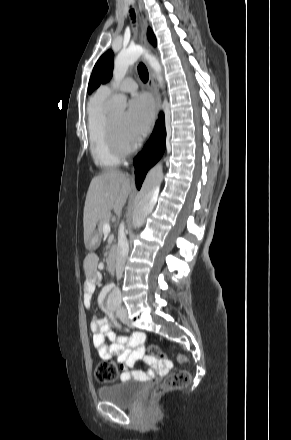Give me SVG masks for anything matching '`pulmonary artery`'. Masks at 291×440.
<instances>
[{"mask_svg":"<svg viewBox=\"0 0 291 440\" xmlns=\"http://www.w3.org/2000/svg\"><path fill=\"white\" fill-rule=\"evenodd\" d=\"M116 88L122 92H134L138 88V83L133 77H126L121 81ZM113 90V87L109 84L103 85L99 88L100 94L104 96H109Z\"/></svg>","mask_w":291,"mask_h":440,"instance_id":"obj_1","label":"pulmonary artery"}]
</instances>
